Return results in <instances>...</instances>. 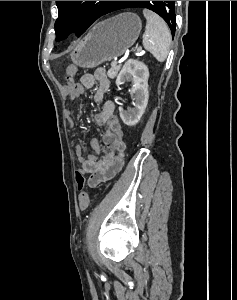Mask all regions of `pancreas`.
<instances>
[{
    "label": "pancreas",
    "mask_w": 237,
    "mask_h": 300,
    "mask_svg": "<svg viewBox=\"0 0 237 300\" xmlns=\"http://www.w3.org/2000/svg\"><path fill=\"white\" fill-rule=\"evenodd\" d=\"M121 69V65H118L114 68L109 69L108 71V77H110V79H114V77H116L118 71H120Z\"/></svg>",
    "instance_id": "cf45deb5"
}]
</instances>
